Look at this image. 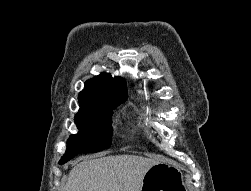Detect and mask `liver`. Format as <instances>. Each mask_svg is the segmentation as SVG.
I'll list each match as a JSON object with an SVG mask.
<instances>
[{"mask_svg":"<svg viewBox=\"0 0 251 191\" xmlns=\"http://www.w3.org/2000/svg\"><path fill=\"white\" fill-rule=\"evenodd\" d=\"M157 159L142 155H94L71 169L65 191H141L148 169Z\"/></svg>","mask_w":251,"mask_h":191,"instance_id":"liver-1","label":"liver"}]
</instances>
